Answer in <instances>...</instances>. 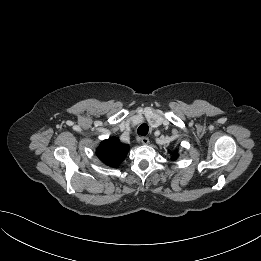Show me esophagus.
Returning a JSON list of instances; mask_svg holds the SVG:
<instances>
[{
	"mask_svg": "<svg viewBox=\"0 0 261 261\" xmlns=\"http://www.w3.org/2000/svg\"><path fill=\"white\" fill-rule=\"evenodd\" d=\"M139 141L144 144V145H147L149 144V138L148 137H141L139 138Z\"/></svg>",
	"mask_w": 261,
	"mask_h": 261,
	"instance_id": "34e87169",
	"label": "esophagus"
}]
</instances>
